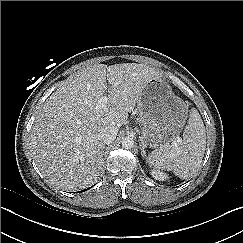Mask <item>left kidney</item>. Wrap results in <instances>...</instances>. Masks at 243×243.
Returning <instances> with one entry per match:
<instances>
[{"mask_svg": "<svg viewBox=\"0 0 243 243\" xmlns=\"http://www.w3.org/2000/svg\"><path fill=\"white\" fill-rule=\"evenodd\" d=\"M151 175L156 180L163 181V180H166L167 179V175L166 174H164V173H162L160 171H157V170H152Z\"/></svg>", "mask_w": 243, "mask_h": 243, "instance_id": "obj_1", "label": "left kidney"}]
</instances>
